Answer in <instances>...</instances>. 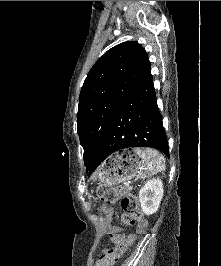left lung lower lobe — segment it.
I'll return each instance as SVG.
<instances>
[{"label":"left lung lower lobe","mask_w":221,"mask_h":266,"mask_svg":"<svg viewBox=\"0 0 221 266\" xmlns=\"http://www.w3.org/2000/svg\"><path fill=\"white\" fill-rule=\"evenodd\" d=\"M132 147L156 148L169 156L151 75L123 101L87 171L91 174L111 154Z\"/></svg>","instance_id":"obj_1"}]
</instances>
